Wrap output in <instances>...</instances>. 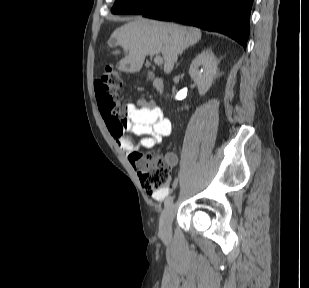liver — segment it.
<instances>
[{
  "label": "liver",
  "instance_id": "liver-1",
  "mask_svg": "<svg viewBox=\"0 0 309 288\" xmlns=\"http://www.w3.org/2000/svg\"><path fill=\"white\" fill-rule=\"evenodd\" d=\"M201 39V31L174 23H163L135 18L117 28L111 35L109 46H120L125 52L116 68L119 71L135 73L141 70L146 56L161 53L164 58V72L171 73L178 55Z\"/></svg>",
  "mask_w": 309,
  "mask_h": 288
}]
</instances>
